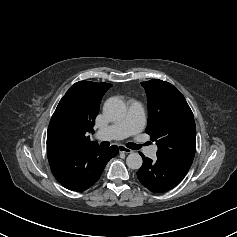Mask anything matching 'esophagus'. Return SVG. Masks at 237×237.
Wrapping results in <instances>:
<instances>
[{
  "instance_id": "esophagus-1",
  "label": "esophagus",
  "mask_w": 237,
  "mask_h": 237,
  "mask_svg": "<svg viewBox=\"0 0 237 237\" xmlns=\"http://www.w3.org/2000/svg\"><path fill=\"white\" fill-rule=\"evenodd\" d=\"M119 152L120 153H125V154H129V153H132L133 151L123 145H120L119 147Z\"/></svg>"
}]
</instances>
